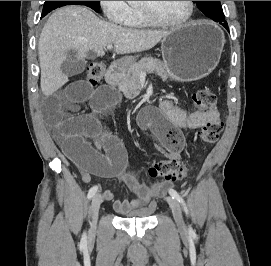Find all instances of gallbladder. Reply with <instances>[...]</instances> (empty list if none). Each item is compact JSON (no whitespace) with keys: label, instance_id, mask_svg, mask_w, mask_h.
I'll return each mask as SVG.
<instances>
[{"label":"gallbladder","instance_id":"bac80fb5","mask_svg":"<svg viewBox=\"0 0 271 266\" xmlns=\"http://www.w3.org/2000/svg\"><path fill=\"white\" fill-rule=\"evenodd\" d=\"M86 64L87 61L84 58H79L76 51L70 50L61 65V70L66 76L72 77L81 74L85 70Z\"/></svg>","mask_w":271,"mask_h":266}]
</instances>
